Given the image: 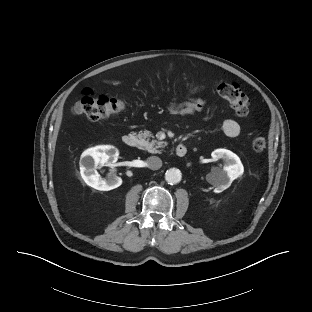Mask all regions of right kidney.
Here are the masks:
<instances>
[{
	"instance_id": "obj_1",
	"label": "right kidney",
	"mask_w": 312,
	"mask_h": 312,
	"mask_svg": "<svg viewBox=\"0 0 312 312\" xmlns=\"http://www.w3.org/2000/svg\"><path fill=\"white\" fill-rule=\"evenodd\" d=\"M118 150L110 145L96 146L84 151L80 158V173L88 186L100 191H109L119 187L122 179L114 172L101 179L96 168L98 166H114L118 160Z\"/></svg>"
}]
</instances>
